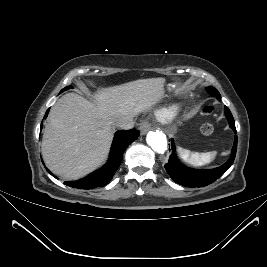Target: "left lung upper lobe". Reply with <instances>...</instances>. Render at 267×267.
<instances>
[{
  "label": "left lung upper lobe",
  "mask_w": 267,
  "mask_h": 267,
  "mask_svg": "<svg viewBox=\"0 0 267 267\" xmlns=\"http://www.w3.org/2000/svg\"><path fill=\"white\" fill-rule=\"evenodd\" d=\"M211 95L217 97L218 99H220V94L215 88H213Z\"/></svg>",
  "instance_id": "1"
}]
</instances>
